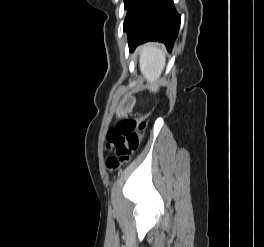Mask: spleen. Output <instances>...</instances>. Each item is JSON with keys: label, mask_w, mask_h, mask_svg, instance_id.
<instances>
[{"label": "spleen", "mask_w": 264, "mask_h": 247, "mask_svg": "<svg viewBox=\"0 0 264 247\" xmlns=\"http://www.w3.org/2000/svg\"><path fill=\"white\" fill-rule=\"evenodd\" d=\"M166 58L164 52L156 47L147 45L140 50V71L151 84V91H157V81L165 67Z\"/></svg>", "instance_id": "1"}]
</instances>
